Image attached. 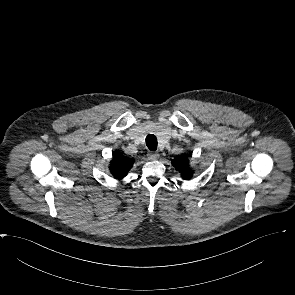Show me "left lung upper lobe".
<instances>
[{
	"mask_svg": "<svg viewBox=\"0 0 295 295\" xmlns=\"http://www.w3.org/2000/svg\"><path fill=\"white\" fill-rule=\"evenodd\" d=\"M172 165L181 172V175L185 178H191L192 172L188 169V159L186 156L176 157L172 160Z\"/></svg>",
	"mask_w": 295,
	"mask_h": 295,
	"instance_id": "1",
	"label": "left lung upper lobe"
}]
</instances>
